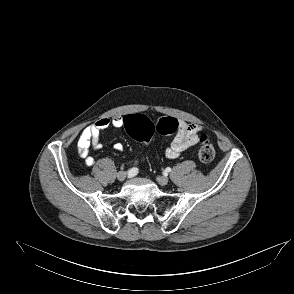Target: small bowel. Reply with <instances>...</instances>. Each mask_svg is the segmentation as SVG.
Here are the masks:
<instances>
[{"instance_id": "c3829d8e", "label": "small bowel", "mask_w": 294, "mask_h": 294, "mask_svg": "<svg viewBox=\"0 0 294 294\" xmlns=\"http://www.w3.org/2000/svg\"><path fill=\"white\" fill-rule=\"evenodd\" d=\"M124 126V116H114L110 118H102L87 126L80 134L77 149L79 155L85 160L86 165L92 166L95 162L94 158L89 154V148L100 150L102 144L100 142V134L107 128H121ZM201 127L194 123L178 121V129L176 135L169 147L165 149V156L170 159L179 157L185 150L194 146L199 141V132ZM116 150H122L123 145L116 143Z\"/></svg>"}]
</instances>
